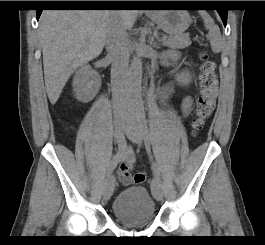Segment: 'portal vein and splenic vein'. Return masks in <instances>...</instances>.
<instances>
[{
    "label": "portal vein and splenic vein",
    "instance_id": "portal-vein-and-splenic-vein-1",
    "mask_svg": "<svg viewBox=\"0 0 265 245\" xmlns=\"http://www.w3.org/2000/svg\"><path fill=\"white\" fill-rule=\"evenodd\" d=\"M161 41L165 44L168 42V39H166V37H163Z\"/></svg>",
    "mask_w": 265,
    "mask_h": 245
}]
</instances>
